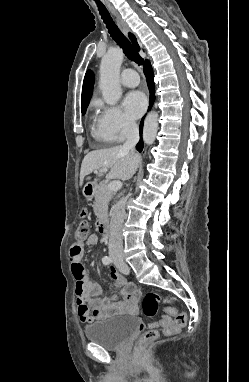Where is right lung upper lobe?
Returning a JSON list of instances; mask_svg holds the SVG:
<instances>
[{"label": "right lung upper lobe", "mask_w": 249, "mask_h": 382, "mask_svg": "<svg viewBox=\"0 0 249 382\" xmlns=\"http://www.w3.org/2000/svg\"><path fill=\"white\" fill-rule=\"evenodd\" d=\"M129 37H130L134 47L139 51L140 47L137 43L135 36L130 33ZM93 85H94V74L91 70H88L85 74L84 81H83L81 111L87 109L88 103H89L90 98L92 96Z\"/></svg>", "instance_id": "1"}]
</instances>
